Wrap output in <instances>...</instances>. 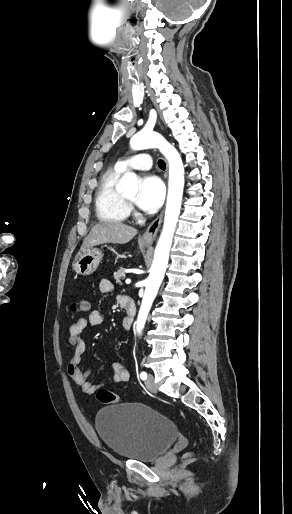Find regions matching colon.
I'll use <instances>...</instances> for the list:
<instances>
[{
	"label": "colon",
	"mask_w": 292,
	"mask_h": 514,
	"mask_svg": "<svg viewBox=\"0 0 292 514\" xmlns=\"http://www.w3.org/2000/svg\"><path fill=\"white\" fill-rule=\"evenodd\" d=\"M72 310L76 313L86 314L90 310V302L87 299H80L72 303ZM98 401L105 404H116L120 402L119 396L109 389H99L96 393ZM193 453H187L186 457H192Z\"/></svg>",
	"instance_id": "1"
}]
</instances>
